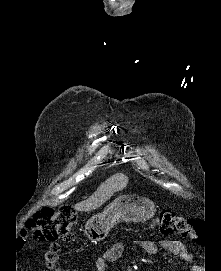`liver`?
Segmentation results:
<instances>
[{
    "mask_svg": "<svg viewBox=\"0 0 221 271\" xmlns=\"http://www.w3.org/2000/svg\"><path fill=\"white\" fill-rule=\"evenodd\" d=\"M113 185H122V181H110V179H107V181L99 185L98 189L88 199L81 201V203H76L74 205L75 209H78V211H92V209H97V207L103 205L111 197L112 193H114L112 191Z\"/></svg>",
    "mask_w": 221,
    "mask_h": 271,
    "instance_id": "liver-1",
    "label": "liver"
}]
</instances>
